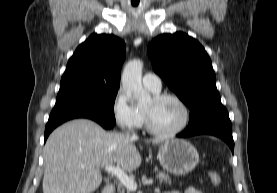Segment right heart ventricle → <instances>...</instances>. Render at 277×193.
I'll return each instance as SVG.
<instances>
[{"label":"right heart ventricle","mask_w":277,"mask_h":193,"mask_svg":"<svg viewBox=\"0 0 277 193\" xmlns=\"http://www.w3.org/2000/svg\"><path fill=\"white\" fill-rule=\"evenodd\" d=\"M153 93H158V92H153ZM141 113V116H142V123L144 122V116H143V113L140 111Z\"/></svg>","instance_id":"right-heart-ventricle-1"}]
</instances>
